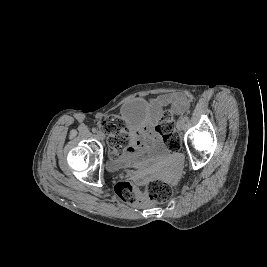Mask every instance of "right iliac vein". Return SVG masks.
Wrapping results in <instances>:
<instances>
[{"label": "right iliac vein", "mask_w": 267, "mask_h": 267, "mask_svg": "<svg viewBox=\"0 0 267 267\" xmlns=\"http://www.w3.org/2000/svg\"><path fill=\"white\" fill-rule=\"evenodd\" d=\"M97 137H98L100 140H104V139H105V134H104L103 132L99 131V132L97 133Z\"/></svg>", "instance_id": "63e3f726"}]
</instances>
